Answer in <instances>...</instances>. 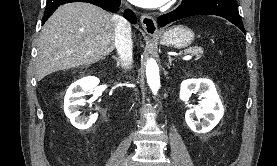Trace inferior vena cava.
<instances>
[{
  "mask_svg": "<svg viewBox=\"0 0 277 166\" xmlns=\"http://www.w3.org/2000/svg\"><path fill=\"white\" fill-rule=\"evenodd\" d=\"M115 19L117 21L115 28V47L117 49L122 67L129 69L133 63L131 26L122 16L116 15Z\"/></svg>",
  "mask_w": 277,
  "mask_h": 166,
  "instance_id": "inferior-vena-cava-1",
  "label": "inferior vena cava"
}]
</instances>
